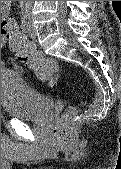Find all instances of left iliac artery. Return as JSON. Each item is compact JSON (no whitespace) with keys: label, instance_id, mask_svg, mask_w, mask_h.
<instances>
[{"label":"left iliac artery","instance_id":"left-iliac-artery-1","mask_svg":"<svg viewBox=\"0 0 121 169\" xmlns=\"http://www.w3.org/2000/svg\"><path fill=\"white\" fill-rule=\"evenodd\" d=\"M29 10L27 7H23L22 8V17H21V27L23 28V30L26 29L27 25H28V19H29Z\"/></svg>","mask_w":121,"mask_h":169}]
</instances>
